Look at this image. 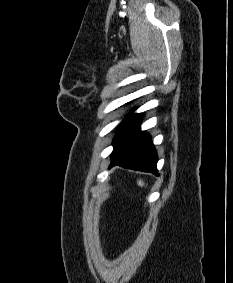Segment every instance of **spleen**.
<instances>
[{
  "label": "spleen",
  "instance_id": "1",
  "mask_svg": "<svg viewBox=\"0 0 233 283\" xmlns=\"http://www.w3.org/2000/svg\"><path fill=\"white\" fill-rule=\"evenodd\" d=\"M138 185H139V186H143L144 184H143V182L140 180V181H138Z\"/></svg>",
  "mask_w": 233,
  "mask_h": 283
}]
</instances>
